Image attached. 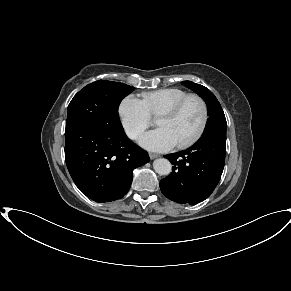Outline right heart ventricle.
<instances>
[{
	"label": "right heart ventricle",
	"instance_id": "1",
	"mask_svg": "<svg viewBox=\"0 0 291 291\" xmlns=\"http://www.w3.org/2000/svg\"><path fill=\"white\" fill-rule=\"evenodd\" d=\"M188 94L179 88H163L142 93L141 101L150 116L158 117Z\"/></svg>",
	"mask_w": 291,
	"mask_h": 291
}]
</instances>
